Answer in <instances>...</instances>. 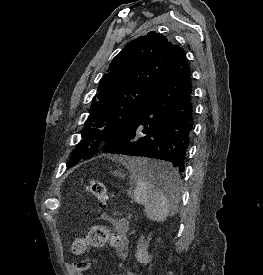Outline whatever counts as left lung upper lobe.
I'll return each mask as SVG.
<instances>
[{"mask_svg":"<svg viewBox=\"0 0 263 275\" xmlns=\"http://www.w3.org/2000/svg\"><path fill=\"white\" fill-rule=\"evenodd\" d=\"M179 46L155 32L129 42L110 64L67 167L89 159L125 131L163 81Z\"/></svg>","mask_w":263,"mask_h":275,"instance_id":"obj_1","label":"left lung upper lobe"}]
</instances>
